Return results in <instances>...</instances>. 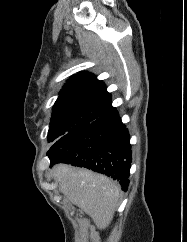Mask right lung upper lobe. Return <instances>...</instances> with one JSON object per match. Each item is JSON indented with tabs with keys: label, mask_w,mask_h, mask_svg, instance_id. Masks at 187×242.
Masks as SVG:
<instances>
[{
	"label": "right lung upper lobe",
	"mask_w": 187,
	"mask_h": 242,
	"mask_svg": "<svg viewBox=\"0 0 187 242\" xmlns=\"http://www.w3.org/2000/svg\"><path fill=\"white\" fill-rule=\"evenodd\" d=\"M71 105H87L106 109L111 106V95L107 92L105 84L95 75L79 72L63 86L53 109Z\"/></svg>",
	"instance_id": "1"
}]
</instances>
